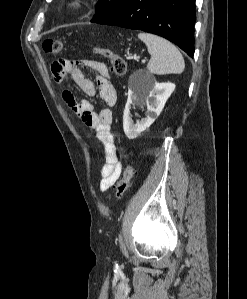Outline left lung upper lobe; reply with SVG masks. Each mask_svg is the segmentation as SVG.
<instances>
[{
  "label": "left lung upper lobe",
  "instance_id": "left-lung-upper-lobe-1",
  "mask_svg": "<svg viewBox=\"0 0 247 299\" xmlns=\"http://www.w3.org/2000/svg\"><path fill=\"white\" fill-rule=\"evenodd\" d=\"M122 1L123 0H99L97 5V12L93 16L91 22H96L99 19L110 14Z\"/></svg>",
  "mask_w": 247,
  "mask_h": 299
}]
</instances>
